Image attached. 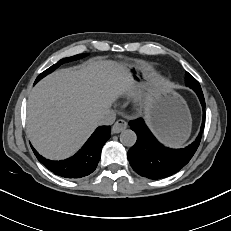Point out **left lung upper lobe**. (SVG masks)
I'll use <instances>...</instances> for the list:
<instances>
[{"label": "left lung upper lobe", "mask_w": 231, "mask_h": 231, "mask_svg": "<svg viewBox=\"0 0 231 231\" xmlns=\"http://www.w3.org/2000/svg\"><path fill=\"white\" fill-rule=\"evenodd\" d=\"M186 85L194 91L202 92L199 82L188 72L186 73Z\"/></svg>", "instance_id": "left-lung-upper-lobe-1"}]
</instances>
